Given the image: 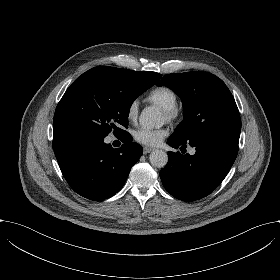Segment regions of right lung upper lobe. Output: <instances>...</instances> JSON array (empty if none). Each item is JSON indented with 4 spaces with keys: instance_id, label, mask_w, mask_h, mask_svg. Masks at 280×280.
<instances>
[{
    "instance_id": "right-lung-upper-lobe-1",
    "label": "right lung upper lobe",
    "mask_w": 280,
    "mask_h": 280,
    "mask_svg": "<svg viewBox=\"0 0 280 280\" xmlns=\"http://www.w3.org/2000/svg\"><path fill=\"white\" fill-rule=\"evenodd\" d=\"M130 73L139 81L149 85V86H153L160 78H161V74H158L156 72H148V71H133V70H129ZM53 144H57L58 142L67 139L68 135L57 132L55 130H53Z\"/></svg>"
}]
</instances>
